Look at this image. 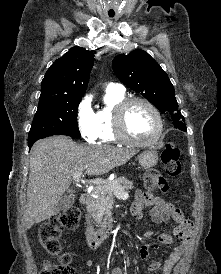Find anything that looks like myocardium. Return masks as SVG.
<instances>
[{"instance_id":"f54148a6","label":"myocardium","mask_w":221,"mask_h":274,"mask_svg":"<svg viewBox=\"0 0 221 274\" xmlns=\"http://www.w3.org/2000/svg\"><path fill=\"white\" fill-rule=\"evenodd\" d=\"M134 103L144 104L151 110V112L153 113L155 117V120L157 123V130L154 136L149 140H146V141L136 140L132 138L126 131V128H125L126 113L129 107L133 105ZM113 123H114V131L117 138L126 144H130L137 147H149L157 143L162 135L163 128H164L163 119L158 108L150 100L143 97H130L120 102L114 110Z\"/></svg>"}]
</instances>
